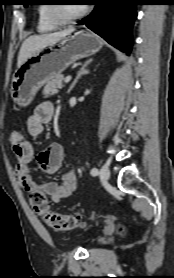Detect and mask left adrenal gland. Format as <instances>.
<instances>
[{
  "instance_id": "left-adrenal-gland-1",
  "label": "left adrenal gland",
  "mask_w": 174,
  "mask_h": 278,
  "mask_svg": "<svg viewBox=\"0 0 174 278\" xmlns=\"http://www.w3.org/2000/svg\"><path fill=\"white\" fill-rule=\"evenodd\" d=\"M92 59L87 60L83 66L81 67L80 71L77 73V76L75 78V80L73 81V83L71 84V86L68 89V93H70L72 91V89L75 87L76 83L78 82V80L83 76L88 74L90 71L87 69V66L92 62Z\"/></svg>"
}]
</instances>
